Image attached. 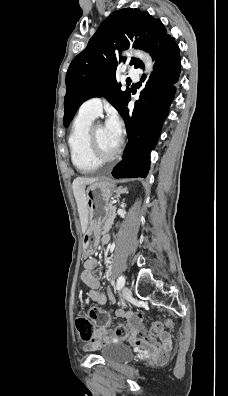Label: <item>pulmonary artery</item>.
<instances>
[{"mask_svg": "<svg viewBox=\"0 0 228 396\" xmlns=\"http://www.w3.org/2000/svg\"><path fill=\"white\" fill-rule=\"evenodd\" d=\"M128 77L133 81L139 80V72L137 69L131 68L128 71ZM102 111V100L100 97H92L83 102L79 108V113L92 117L98 116Z\"/></svg>", "mask_w": 228, "mask_h": 396, "instance_id": "obj_1", "label": "pulmonary artery"}]
</instances>
